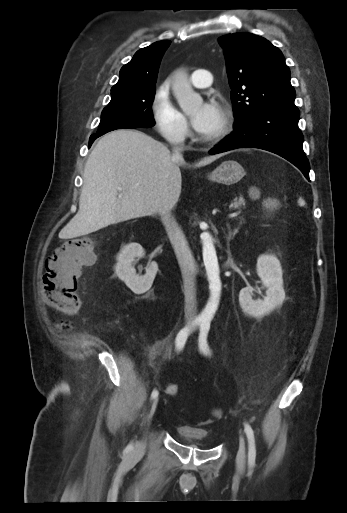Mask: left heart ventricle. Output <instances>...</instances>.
Masks as SVG:
<instances>
[{
  "mask_svg": "<svg viewBox=\"0 0 347 513\" xmlns=\"http://www.w3.org/2000/svg\"><path fill=\"white\" fill-rule=\"evenodd\" d=\"M201 108V105H197L195 107V109L193 110L192 114L195 115L199 109ZM222 120H223V117L221 115L220 119L218 120V122L210 129L208 130L207 132L205 133H202L201 135L203 137H210V136H213L216 132H218V130L220 129L221 127V124H222Z\"/></svg>",
  "mask_w": 347,
  "mask_h": 513,
  "instance_id": "left-heart-ventricle-1",
  "label": "left heart ventricle"
}]
</instances>
